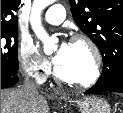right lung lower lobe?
<instances>
[{
  "mask_svg": "<svg viewBox=\"0 0 123 113\" xmlns=\"http://www.w3.org/2000/svg\"><path fill=\"white\" fill-rule=\"evenodd\" d=\"M19 78L17 75L7 76L1 74V89L11 87L18 82Z\"/></svg>",
  "mask_w": 123,
  "mask_h": 113,
  "instance_id": "1",
  "label": "right lung lower lobe"
}]
</instances>
